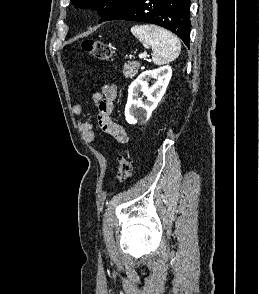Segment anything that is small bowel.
<instances>
[{"mask_svg": "<svg viewBox=\"0 0 259 294\" xmlns=\"http://www.w3.org/2000/svg\"><path fill=\"white\" fill-rule=\"evenodd\" d=\"M117 95V89L114 85H105L100 91L93 94L92 100L97 109V120L99 127L120 144L128 142V135L125 129L112 118L113 103ZM72 113L81 115L83 106L76 102L72 105ZM77 129L86 142H93L95 134L92 125L85 120L77 121Z\"/></svg>", "mask_w": 259, "mask_h": 294, "instance_id": "1", "label": "small bowel"}]
</instances>
